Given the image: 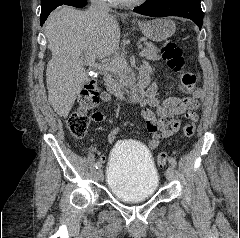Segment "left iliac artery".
<instances>
[{"mask_svg": "<svg viewBox=\"0 0 240 238\" xmlns=\"http://www.w3.org/2000/svg\"><path fill=\"white\" fill-rule=\"evenodd\" d=\"M169 163H170L173 167H175V166H176V160H175V158L170 157V158H169Z\"/></svg>", "mask_w": 240, "mask_h": 238, "instance_id": "left-iliac-artery-1", "label": "left iliac artery"}]
</instances>
